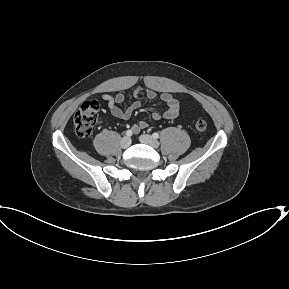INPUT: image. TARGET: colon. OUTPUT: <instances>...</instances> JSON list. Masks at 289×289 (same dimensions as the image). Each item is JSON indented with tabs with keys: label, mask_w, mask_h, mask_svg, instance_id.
Wrapping results in <instances>:
<instances>
[{
	"label": "colon",
	"mask_w": 289,
	"mask_h": 289,
	"mask_svg": "<svg viewBox=\"0 0 289 289\" xmlns=\"http://www.w3.org/2000/svg\"><path fill=\"white\" fill-rule=\"evenodd\" d=\"M100 105L97 101L91 100L84 102L73 119L75 133L80 138H87L91 135L95 124L98 121ZM207 128V122L199 119L195 123V129L198 132H204Z\"/></svg>",
	"instance_id": "1"
}]
</instances>
